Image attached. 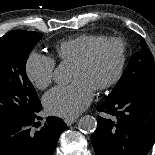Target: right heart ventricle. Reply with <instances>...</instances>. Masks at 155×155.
<instances>
[{"label": "right heart ventricle", "mask_w": 155, "mask_h": 155, "mask_svg": "<svg viewBox=\"0 0 155 155\" xmlns=\"http://www.w3.org/2000/svg\"><path fill=\"white\" fill-rule=\"evenodd\" d=\"M104 36L83 33L66 40H62L55 45V56L63 63L74 64L85 52Z\"/></svg>", "instance_id": "e07e8e85"}]
</instances>
